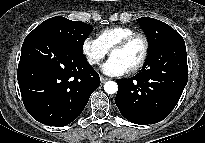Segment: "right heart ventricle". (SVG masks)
<instances>
[{"instance_id":"e07e8e85","label":"right heart ventricle","mask_w":205,"mask_h":143,"mask_svg":"<svg viewBox=\"0 0 205 143\" xmlns=\"http://www.w3.org/2000/svg\"><path fill=\"white\" fill-rule=\"evenodd\" d=\"M135 33V30L126 26L106 28L98 33L97 39L108 50L125 37Z\"/></svg>"}]
</instances>
